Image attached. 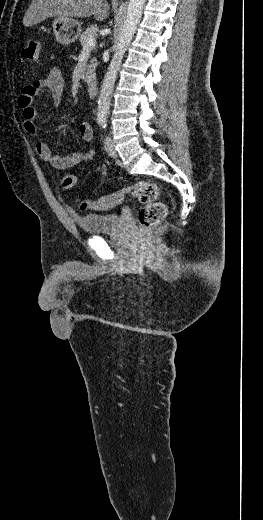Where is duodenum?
<instances>
[{"mask_svg":"<svg viewBox=\"0 0 263 520\" xmlns=\"http://www.w3.org/2000/svg\"><path fill=\"white\" fill-rule=\"evenodd\" d=\"M88 93L90 97H95L98 93V83L94 79H89L88 83Z\"/></svg>","mask_w":263,"mask_h":520,"instance_id":"duodenum-1","label":"duodenum"}]
</instances>
